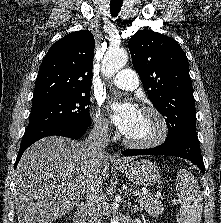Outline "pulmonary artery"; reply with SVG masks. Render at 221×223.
Here are the masks:
<instances>
[{"instance_id":"pulmonary-artery-1","label":"pulmonary artery","mask_w":221,"mask_h":223,"mask_svg":"<svg viewBox=\"0 0 221 223\" xmlns=\"http://www.w3.org/2000/svg\"><path fill=\"white\" fill-rule=\"evenodd\" d=\"M112 84L123 90H133L139 86V78L135 71L123 69L114 76Z\"/></svg>"}]
</instances>
